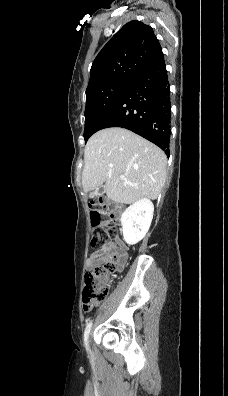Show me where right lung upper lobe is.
Listing matches in <instances>:
<instances>
[{
    "mask_svg": "<svg viewBox=\"0 0 228 396\" xmlns=\"http://www.w3.org/2000/svg\"><path fill=\"white\" fill-rule=\"evenodd\" d=\"M160 53L150 26L137 20L126 23L95 58L86 91L113 82L131 83Z\"/></svg>",
    "mask_w": 228,
    "mask_h": 396,
    "instance_id": "obj_1",
    "label": "right lung upper lobe"
}]
</instances>
